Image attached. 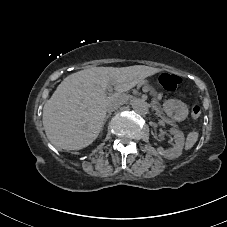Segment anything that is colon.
Returning a JSON list of instances; mask_svg holds the SVG:
<instances>
[{
    "instance_id": "colon-1",
    "label": "colon",
    "mask_w": 227,
    "mask_h": 227,
    "mask_svg": "<svg viewBox=\"0 0 227 227\" xmlns=\"http://www.w3.org/2000/svg\"><path fill=\"white\" fill-rule=\"evenodd\" d=\"M158 81L166 91L176 93L179 97H184V93L180 92L182 79L178 75L162 72L158 76ZM190 114L193 119L200 118L202 114L201 107L199 105L192 106Z\"/></svg>"
}]
</instances>
